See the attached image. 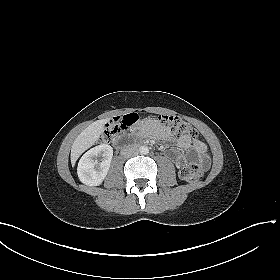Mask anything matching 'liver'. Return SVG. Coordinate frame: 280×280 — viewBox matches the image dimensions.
I'll return each instance as SVG.
<instances>
[{
	"mask_svg": "<svg viewBox=\"0 0 280 280\" xmlns=\"http://www.w3.org/2000/svg\"><path fill=\"white\" fill-rule=\"evenodd\" d=\"M107 121H109V119L97 120L90 124L77 136L71 148L72 166L75 165L79 156L99 139Z\"/></svg>",
	"mask_w": 280,
	"mask_h": 280,
	"instance_id": "1",
	"label": "liver"
}]
</instances>
